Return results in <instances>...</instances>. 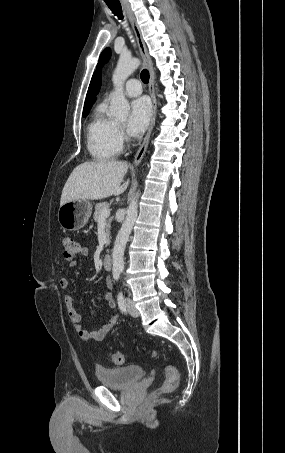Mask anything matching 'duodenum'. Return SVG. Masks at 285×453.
<instances>
[{
    "mask_svg": "<svg viewBox=\"0 0 285 453\" xmlns=\"http://www.w3.org/2000/svg\"><path fill=\"white\" fill-rule=\"evenodd\" d=\"M103 265L106 269L112 268V257L109 254H105L102 258Z\"/></svg>",
    "mask_w": 285,
    "mask_h": 453,
    "instance_id": "410a0bca",
    "label": "duodenum"
}]
</instances>
